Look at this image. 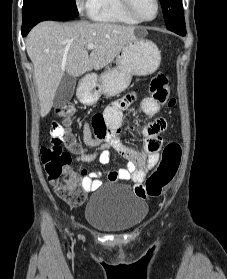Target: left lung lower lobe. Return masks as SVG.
I'll use <instances>...</instances> for the list:
<instances>
[{"mask_svg":"<svg viewBox=\"0 0 227 279\" xmlns=\"http://www.w3.org/2000/svg\"><path fill=\"white\" fill-rule=\"evenodd\" d=\"M170 31H173L175 32L176 34L178 35H181V36H185L186 35V28H172V27H167Z\"/></svg>","mask_w":227,"mask_h":279,"instance_id":"left-lung-lower-lobe-1","label":"left lung lower lobe"}]
</instances>
